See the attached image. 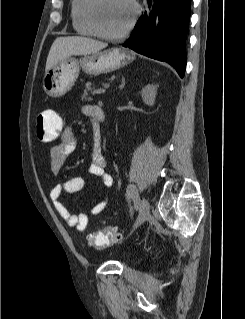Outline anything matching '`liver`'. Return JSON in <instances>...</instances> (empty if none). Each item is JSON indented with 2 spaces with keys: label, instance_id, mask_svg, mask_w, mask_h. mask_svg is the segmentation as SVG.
Masks as SVG:
<instances>
[{
  "label": "liver",
  "instance_id": "liver-1",
  "mask_svg": "<svg viewBox=\"0 0 245 319\" xmlns=\"http://www.w3.org/2000/svg\"><path fill=\"white\" fill-rule=\"evenodd\" d=\"M107 47V43L97 41L83 36L58 37L52 44L47 61L45 72L53 65L71 55L96 54Z\"/></svg>",
  "mask_w": 245,
  "mask_h": 319
}]
</instances>
